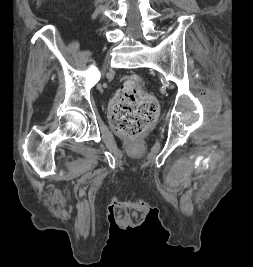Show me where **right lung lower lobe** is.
<instances>
[{
	"label": "right lung lower lobe",
	"mask_w": 253,
	"mask_h": 267,
	"mask_svg": "<svg viewBox=\"0 0 253 267\" xmlns=\"http://www.w3.org/2000/svg\"><path fill=\"white\" fill-rule=\"evenodd\" d=\"M157 213H158L157 210H153V211L150 212V216L157 217Z\"/></svg>",
	"instance_id": "obj_1"
}]
</instances>
